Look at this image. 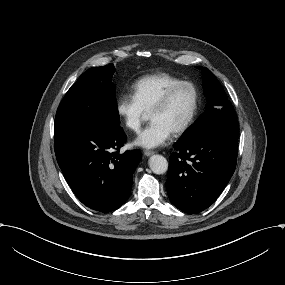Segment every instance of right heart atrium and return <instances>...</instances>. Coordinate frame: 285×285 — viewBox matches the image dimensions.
I'll list each match as a JSON object with an SVG mask.
<instances>
[{
    "label": "right heart atrium",
    "mask_w": 285,
    "mask_h": 285,
    "mask_svg": "<svg viewBox=\"0 0 285 285\" xmlns=\"http://www.w3.org/2000/svg\"><path fill=\"white\" fill-rule=\"evenodd\" d=\"M117 109L125 124L133 130H138L148 116V111L142 106L132 90L120 97Z\"/></svg>",
    "instance_id": "obj_1"
}]
</instances>
